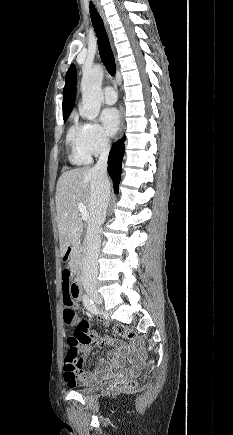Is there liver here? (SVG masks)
I'll use <instances>...</instances> for the list:
<instances>
[{
    "instance_id": "obj_1",
    "label": "liver",
    "mask_w": 233,
    "mask_h": 435,
    "mask_svg": "<svg viewBox=\"0 0 233 435\" xmlns=\"http://www.w3.org/2000/svg\"><path fill=\"white\" fill-rule=\"evenodd\" d=\"M92 178L91 169L81 167L63 172L58 179L55 202L61 256L82 234L83 224L77 204L82 202L89 211Z\"/></svg>"
}]
</instances>
